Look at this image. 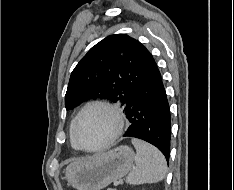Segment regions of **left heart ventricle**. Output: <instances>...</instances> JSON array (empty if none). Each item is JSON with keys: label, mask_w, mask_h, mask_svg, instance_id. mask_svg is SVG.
Returning <instances> with one entry per match:
<instances>
[{"label": "left heart ventricle", "mask_w": 234, "mask_h": 190, "mask_svg": "<svg viewBox=\"0 0 234 190\" xmlns=\"http://www.w3.org/2000/svg\"><path fill=\"white\" fill-rule=\"evenodd\" d=\"M114 128V119L108 111L93 108L82 116L77 127V140L84 147H94L108 139Z\"/></svg>", "instance_id": "b2bd125f"}]
</instances>
